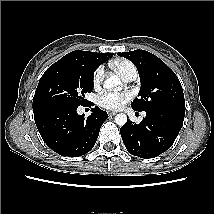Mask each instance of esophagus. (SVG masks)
<instances>
[{
  "label": "esophagus",
  "mask_w": 214,
  "mask_h": 214,
  "mask_svg": "<svg viewBox=\"0 0 214 214\" xmlns=\"http://www.w3.org/2000/svg\"><path fill=\"white\" fill-rule=\"evenodd\" d=\"M108 115L109 116H114V115H116V113L115 112H108Z\"/></svg>",
  "instance_id": "esophagus-1"
}]
</instances>
